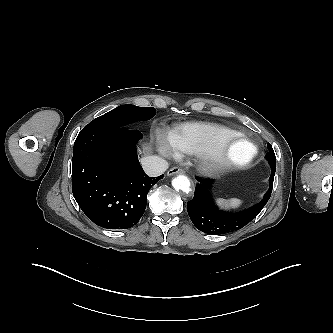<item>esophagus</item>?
I'll return each instance as SVG.
<instances>
[{
	"instance_id": "1",
	"label": "esophagus",
	"mask_w": 333,
	"mask_h": 333,
	"mask_svg": "<svg viewBox=\"0 0 333 333\" xmlns=\"http://www.w3.org/2000/svg\"><path fill=\"white\" fill-rule=\"evenodd\" d=\"M184 173V170L179 166H174L167 171L168 176L177 175Z\"/></svg>"
}]
</instances>
